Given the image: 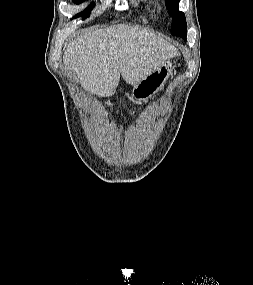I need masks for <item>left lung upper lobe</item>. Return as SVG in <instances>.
I'll return each instance as SVG.
<instances>
[{
	"label": "left lung upper lobe",
	"instance_id": "1",
	"mask_svg": "<svg viewBox=\"0 0 253 285\" xmlns=\"http://www.w3.org/2000/svg\"><path fill=\"white\" fill-rule=\"evenodd\" d=\"M180 0H165L168 13L172 16L171 34L186 40L187 25L185 14L178 9Z\"/></svg>",
	"mask_w": 253,
	"mask_h": 285
}]
</instances>
